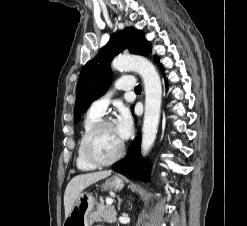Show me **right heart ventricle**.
I'll return each instance as SVG.
<instances>
[{
	"instance_id": "right-heart-ventricle-1",
	"label": "right heart ventricle",
	"mask_w": 247,
	"mask_h": 226,
	"mask_svg": "<svg viewBox=\"0 0 247 226\" xmlns=\"http://www.w3.org/2000/svg\"><path fill=\"white\" fill-rule=\"evenodd\" d=\"M99 115L93 113L91 110H89V112L87 113L84 121H83V125H82V129L80 132V136H79V140H78V144H77V152H76V165L78 167V169L82 170V171H89V170H93L96 168V166L90 164L84 157L83 155V151H82V142H83V138L85 136V134L87 133V131L100 120Z\"/></svg>"
}]
</instances>
